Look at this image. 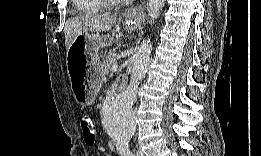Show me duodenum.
<instances>
[{"instance_id":"410a0bca","label":"duodenum","mask_w":261,"mask_h":156,"mask_svg":"<svg viewBox=\"0 0 261 156\" xmlns=\"http://www.w3.org/2000/svg\"><path fill=\"white\" fill-rule=\"evenodd\" d=\"M123 81H119L111 90L109 97H112L117 90L121 89L123 87Z\"/></svg>"}]
</instances>
